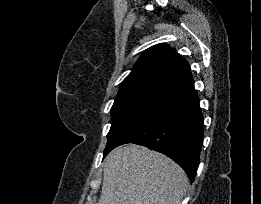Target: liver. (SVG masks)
I'll list each match as a JSON object with an SVG mask.
<instances>
[{"instance_id":"6515ba94","label":"liver","mask_w":261,"mask_h":204,"mask_svg":"<svg viewBox=\"0 0 261 204\" xmlns=\"http://www.w3.org/2000/svg\"><path fill=\"white\" fill-rule=\"evenodd\" d=\"M187 186L185 172L170 158L146 147L124 145L104 161L97 204H181Z\"/></svg>"}]
</instances>
